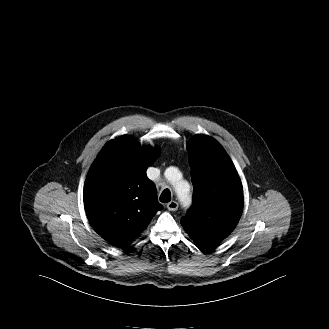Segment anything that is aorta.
I'll use <instances>...</instances> for the list:
<instances>
[{
    "mask_svg": "<svg viewBox=\"0 0 329 329\" xmlns=\"http://www.w3.org/2000/svg\"><path fill=\"white\" fill-rule=\"evenodd\" d=\"M165 175L167 179L174 185L179 200L181 202L188 201L190 199L188 183L179 179V170L175 167H169L166 170Z\"/></svg>",
    "mask_w": 329,
    "mask_h": 329,
    "instance_id": "1",
    "label": "aorta"
}]
</instances>
